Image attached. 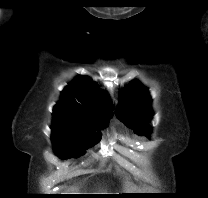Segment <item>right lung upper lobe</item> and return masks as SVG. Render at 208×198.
I'll return each mask as SVG.
<instances>
[{
  "label": "right lung upper lobe",
  "instance_id": "cb5924a9",
  "mask_svg": "<svg viewBox=\"0 0 208 198\" xmlns=\"http://www.w3.org/2000/svg\"><path fill=\"white\" fill-rule=\"evenodd\" d=\"M106 92L87 76H78L61 92L53 117H71L98 122L112 117Z\"/></svg>",
  "mask_w": 208,
  "mask_h": 198
}]
</instances>
